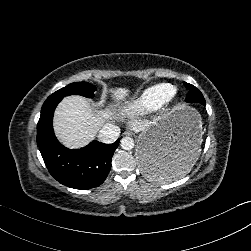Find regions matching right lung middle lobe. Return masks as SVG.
<instances>
[{"instance_id": "dd1d6c3e", "label": "right lung middle lobe", "mask_w": 251, "mask_h": 251, "mask_svg": "<svg viewBox=\"0 0 251 251\" xmlns=\"http://www.w3.org/2000/svg\"><path fill=\"white\" fill-rule=\"evenodd\" d=\"M94 91H96V87L88 82H74L54 92L49 98H63L68 95H81L93 98Z\"/></svg>"}]
</instances>
